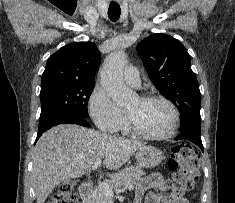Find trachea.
Listing matches in <instances>:
<instances>
[{
  "label": "trachea",
  "instance_id": "obj_1",
  "mask_svg": "<svg viewBox=\"0 0 235 203\" xmlns=\"http://www.w3.org/2000/svg\"><path fill=\"white\" fill-rule=\"evenodd\" d=\"M121 14V9L118 4H110L108 9V17L112 22H116Z\"/></svg>",
  "mask_w": 235,
  "mask_h": 203
}]
</instances>
